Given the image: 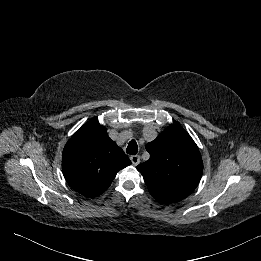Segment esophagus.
<instances>
[{"instance_id":"34e87169","label":"esophagus","mask_w":261,"mask_h":261,"mask_svg":"<svg viewBox=\"0 0 261 261\" xmlns=\"http://www.w3.org/2000/svg\"><path fill=\"white\" fill-rule=\"evenodd\" d=\"M130 160L134 166L138 165L140 162V156L139 155H133L130 157Z\"/></svg>"}]
</instances>
